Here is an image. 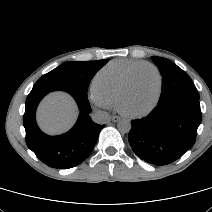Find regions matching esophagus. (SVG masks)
<instances>
[{
    "label": "esophagus",
    "instance_id": "1",
    "mask_svg": "<svg viewBox=\"0 0 212 212\" xmlns=\"http://www.w3.org/2000/svg\"><path fill=\"white\" fill-rule=\"evenodd\" d=\"M112 121L113 122H118L119 120H120V117L119 116H116V115H114V116H112Z\"/></svg>",
    "mask_w": 212,
    "mask_h": 212
}]
</instances>
